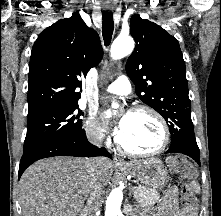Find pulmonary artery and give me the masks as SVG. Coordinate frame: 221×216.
Here are the masks:
<instances>
[{
    "instance_id": "1",
    "label": "pulmonary artery",
    "mask_w": 221,
    "mask_h": 216,
    "mask_svg": "<svg viewBox=\"0 0 221 216\" xmlns=\"http://www.w3.org/2000/svg\"><path fill=\"white\" fill-rule=\"evenodd\" d=\"M105 91L116 95H127L131 92L130 81L125 75L119 76L106 87Z\"/></svg>"
}]
</instances>
